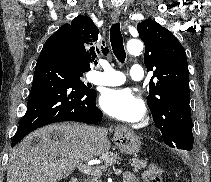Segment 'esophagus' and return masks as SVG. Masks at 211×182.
Returning a JSON list of instances; mask_svg holds the SVG:
<instances>
[{"mask_svg": "<svg viewBox=\"0 0 211 182\" xmlns=\"http://www.w3.org/2000/svg\"><path fill=\"white\" fill-rule=\"evenodd\" d=\"M120 15H121L120 10H119V9H115V10H113L112 13H111V18H112V20H113L114 22H116V21L119 20ZM120 130H122V129H121V128L118 129V131H120Z\"/></svg>", "mask_w": 211, "mask_h": 182, "instance_id": "obj_1", "label": "esophagus"}]
</instances>
